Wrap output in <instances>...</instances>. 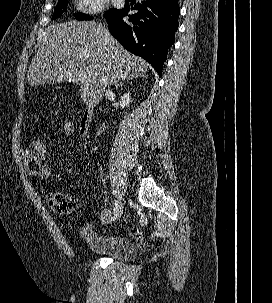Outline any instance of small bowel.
<instances>
[{"mask_svg":"<svg viewBox=\"0 0 272 303\" xmlns=\"http://www.w3.org/2000/svg\"><path fill=\"white\" fill-rule=\"evenodd\" d=\"M21 161L23 168L28 175L39 178L43 181H48L50 179V171L46 173H41L37 171L33 164V155L30 143L21 152Z\"/></svg>","mask_w":272,"mask_h":303,"instance_id":"obj_1","label":"small bowel"}]
</instances>
